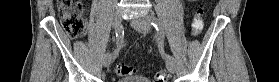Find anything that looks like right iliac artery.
Returning a JSON list of instances; mask_svg holds the SVG:
<instances>
[{
    "label": "right iliac artery",
    "instance_id": "82829eb1",
    "mask_svg": "<svg viewBox=\"0 0 279 82\" xmlns=\"http://www.w3.org/2000/svg\"><path fill=\"white\" fill-rule=\"evenodd\" d=\"M121 35H122V26L120 25L119 27H117V29H116V31H115V35H114V37H113L114 41H116L117 44H118V41H119ZM119 51H120V48L117 47V48L115 49V51L112 53V58L115 59V58H116V55H118Z\"/></svg>",
    "mask_w": 279,
    "mask_h": 82
}]
</instances>
